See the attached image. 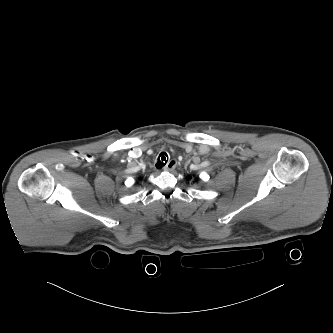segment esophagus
Masks as SVG:
<instances>
[{"mask_svg": "<svg viewBox=\"0 0 333 333\" xmlns=\"http://www.w3.org/2000/svg\"><path fill=\"white\" fill-rule=\"evenodd\" d=\"M176 164H177V161L176 160H170L166 166L163 168L164 171H167V172H171L175 169L176 167Z\"/></svg>", "mask_w": 333, "mask_h": 333, "instance_id": "34e87169", "label": "esophagus"}]
</instances>
